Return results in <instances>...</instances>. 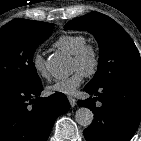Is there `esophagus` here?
<instances>
[{"label":"esophagus","mask_w":141,"mask_h":141,"mask_svg":"<svg viewBox=\"0 0 141 141\" xmlns=\"http://www.w3.org/2000/svg\"><path fill=\"white\" fill-rule=\"evenodd\" d=\"M68 100L71 107H74L76 105V100L73 97H68Z\"/></svg>","instance_id":"obj_1"}]
</instances>
